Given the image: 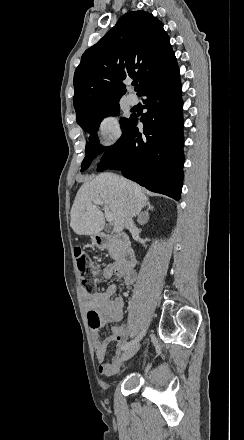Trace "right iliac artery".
I'll return each mask as SVG.
<instances>
[{
    "label": "right iliac artery",
    "mask_w": 244,
    "mask_h": 440,
    "mask_svg": "<svg viewBox=\"0 0 244 440\" xmlns=\"http://www.w3.org/2000/svg\"><path fill=\"white\" fill-rule=\"evenodd\" d=\"M143 335H144V331H142L135 339H133L132 341H130V342L126 343L125 345H123L121 349L122 350H127L131 346L137 344V342L142 339Z\"/></svg>",
    "instance_id": "82829eb1"
}]
</instances>
